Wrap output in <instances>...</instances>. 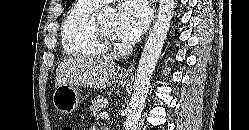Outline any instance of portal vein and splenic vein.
I'll use <instances>...</instances> for the list:
<instances>
[{
    "label": "portal vein and splenic vein",
    "mask_w": 249,
    "mask_h": 130,
    "mask_svg": "<svg viewBox=\"0 0 249 130\" xmlns=\"http://www.w3.org/2000/svg\"><path fill=\"white\" fill-rule=\"evenodd\" d=\"M109 117L108 113L107 112H102L100 113V118L101 119H107Z\"/></svg>",
    "instance_id": "1"
}]
</instances>
